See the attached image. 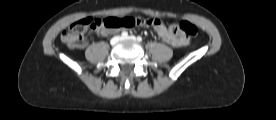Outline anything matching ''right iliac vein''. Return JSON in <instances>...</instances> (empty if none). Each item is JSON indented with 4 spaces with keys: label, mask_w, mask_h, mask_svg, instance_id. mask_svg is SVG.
Masks as SVG:
<instances>
[{
    "label": "right iliac vein",
    "mask_w": 276,
    "mask_h": 120,
    "mask_svg": "<svg viewBox=\"0 0 276 120\" xmlns=\"http://www.w3.org/2000/svg\"><path fill=\"white\" fill-rule=\"evenodd\" d=\"M120 37H114L112 40H111V44H117L119 41H120Z\"/></svg>",
    "instance_id": "right-iliac-vein-1"
}]
</instances>
